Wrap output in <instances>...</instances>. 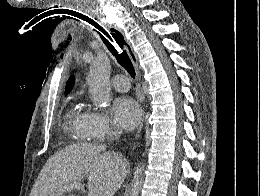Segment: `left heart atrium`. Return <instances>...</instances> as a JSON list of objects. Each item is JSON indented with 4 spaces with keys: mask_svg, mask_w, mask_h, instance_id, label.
Listing matches in <instances>:
<instances>
[{
    "mask_svg": "<svg viewBox=\"0 0 260 196\" xmlns=\"http://www.w3.org/2000/svg\"><path fill=\"white\" fill-rule=\"evenodd\" d=\"M116 123L126 130L133 129L141 119V109L137 102L127 96L119 97L113 104Z\"/></svg>",
    "mask_w": 260,
    "mask_h": 196,
    "instance_id": "1",
    "label": "left heart atrium"
}]
</instances>
